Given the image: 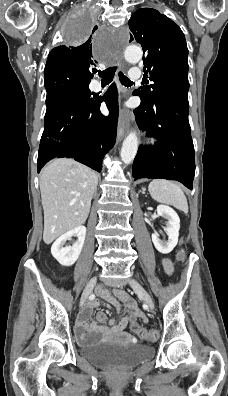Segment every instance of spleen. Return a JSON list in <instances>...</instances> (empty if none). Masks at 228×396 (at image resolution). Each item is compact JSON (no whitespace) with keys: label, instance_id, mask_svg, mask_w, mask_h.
<instances>
[{"label":"spleen","instance_id":"spleen-1","mask_svg":"<svg viewBox=\"0 0 228 396\" xmlns=\"http://www.w3.org/2000/svg\"><path fill=\"white\" fill-rule=\"evenodd\" d=\"M148 190L155 201L172 205L176 209L188 213L186 196L177 184L165 179H155L150 182Z\"/></svg>","mask_w":228,"mask_h":396}]
</instances>
